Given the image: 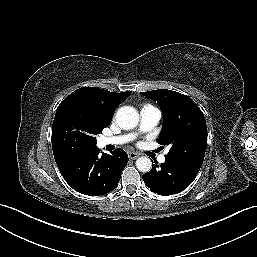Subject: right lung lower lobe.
<instances>
[{
	"label": "right lung lower lobe",
	"mask_w": 257,
	"mask_h": 257,
	"mask_svg": "<svg viewBox=\"0 0 257 257\" xmlns=\"http://www.w3.org/2000/svg\"><path fill=\"white\" fill-rule=\"evenodd\" d=\"M97 146L60 158L56 164L66 182L76 191L91 196L104 195L116 188L121 173L128 162L123 149H116L111 155L99 154Z\"/></svg>",
	"instance_id": "right-lung-lower-lobe-1"
}]
</instances>
